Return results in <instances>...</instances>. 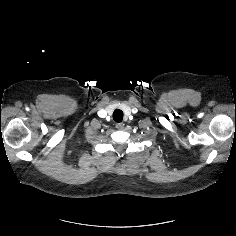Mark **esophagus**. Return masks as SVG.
I'll use <instances>...</instances> for the list:
<instances>
[{
    "label": "esophagus",
    "instance_id": "esophagus-1",
    "mask_svg": "<svg viewBox=\"0 0 236 236\" xmlns=\"http://www.w3.org/2000/svg\"><path fill=\"white\" fill-rule=\"evenodd\" d=\"M116 128H117L118 130H122V129L124 128V124H123V123H117V124H116Z\"/></svg>",
    "mask_w": 236,
    "mask_h": 236
}]
</instances>
